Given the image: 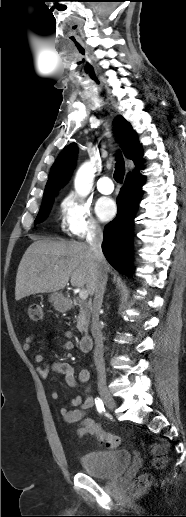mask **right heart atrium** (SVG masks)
I'll return each mask as SVG.
<instances>
[{"instance_id":"right-heart-atrium-1","label":"right heart atrium","mask_w":186,"mask_h":517,"mask_svg":"<svg viewBox=\"0 0 186 517\" xmlns=\"http://www.w3.org/2000/svg\"><path fill=\"white\" fill-rule=\"evenodd\" d=\"M59 218L62 230L72 237L88 239L101 232L90 205L76 194H68L61 200Z\"/></svg>"}]
</instances>
